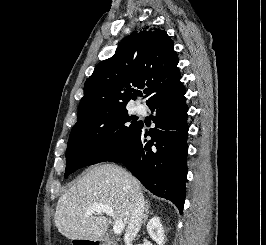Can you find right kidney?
<instances>
[{
  "instance_id": "1",
  "label": "right kidney",
  "mask_w": 266,
  "mask_h": 245,
  "mask_svg": "<svg viewBox=\"0 0 266 245\" xmlns=\"http://www.w3.org/2000/svg\"><path fill=\"white\" fill-rule=\"evenodd\" d=\"M146 229L148 235L153 241H156L157 245H164L165 235L159 217H152L147 223Z\"/></svg>"
}]
</instances>
